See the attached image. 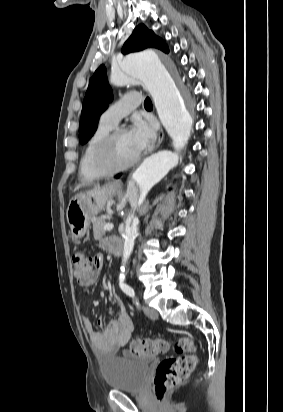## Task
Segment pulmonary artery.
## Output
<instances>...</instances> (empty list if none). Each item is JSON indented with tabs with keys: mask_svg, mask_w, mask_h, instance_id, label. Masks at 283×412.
<instances>
[{
	"mask_svg": "<svg viewBox=\"0 0 283 412\" xmlns=\"http://www.w3.org/2000/svg\"><path fill=\"white\" fill-rule=\"evenodd\" d=\"M141 103L142 97L140 94H126L112 103L101 114L100 122L114 128L123 117L127 116Z\"/></svg>",
	"mask_w": 283,
	"mask_h": 412,
	"instance_id": "1",
	"label": "pulmonary artery"
}]
</instances>
